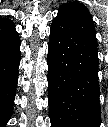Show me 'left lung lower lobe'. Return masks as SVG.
<instances>
[{
	"instance_id": "0a47b994",
	"label": "left lung lower lobe",
	"mask_w": 108,
	"mask_h": 127,
	"mask_svg": "<svg viewBox=\"0 0 108 127\" xmlns=\"http://www.w3.org/2000/svg\"><path fill=\"white\" fill-rule=\"evenodd\" d=\"M48 99L52 127H100L98 44L88 9L60 6L48 44Z\"/></svg>"
}]
</instances>
